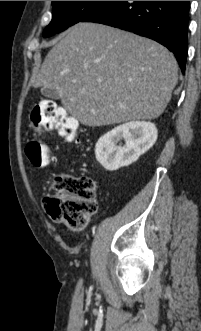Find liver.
<instances>
[{
    "label": "liver",
    "instance_id": "obj_1",
    "mask_svg": "<svg viewBox=\"0 0 201 331\" xmlns=\"http://www.w3.org/2000/svg\"><path fill=\"white\" fill-rule=\"evenodd\" d=\"M174 55L161 44L95 23L69 28L32 77L34 87L58 91L82 124L153 120L177 84Z\"/></svg>",
    "mask_w": 201,
    "mask_h": 331
}]
</instances>
